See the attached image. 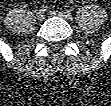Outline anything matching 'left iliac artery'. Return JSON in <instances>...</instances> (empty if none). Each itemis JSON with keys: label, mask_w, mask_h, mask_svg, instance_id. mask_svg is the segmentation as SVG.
<instances>
[{"label": "left iliac artery", "mask_w": 111, "mask_h": 106, "mask_svg": "<svg viewBox=\"0 0 111 106\" xmlns=\"http://www.w3.org/2000/svg\"><path fill=\"white\" fill-rule=\"evenodd\" d=\"M73 10H74V9H73L72 7H69V8L67 9V12H70V13H71V12H73Z\"/></svg>", "instance_id": "left-iliac-artery-1"}]
</instances>
